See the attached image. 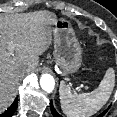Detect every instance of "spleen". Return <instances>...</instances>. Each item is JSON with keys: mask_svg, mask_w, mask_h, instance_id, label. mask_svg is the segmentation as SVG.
I'll return each instance as SVG.
<instances>
[{"mask_svg": "<svg viewBox=\"0 0 117 117\" xmlns=\"http://www.w3.org/2000/svg\"><path fill=\"white\" fill-rule=\"evenodd\" d=\"M115 86V72L109 68L98 88L89 93L73 94L61 82L59 98L61 109L67 117H90L99 111L109 100Z\"/></svg>", "mask_w": 117, "mask_h": 117, "instance_id": "3e777b00", "label": "spleen"}]
</instances>
